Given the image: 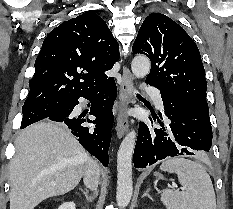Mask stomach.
Listing matches in <instances>:
<instances>
[{"label":"stomach","mask_w":233,"mask_h":209,"mask_svg":"<svg viewBox=\"0 0 233 209\" xmlns=\"http://www.w3.org/2000/svg\"><path fill=\"white\" fill-rule=\"evenodd\" d=\"M156 176H157V177H161L160 174H158V173H156Z\"/></svg>","instance_id":"stomach-1"}]
</instances>
